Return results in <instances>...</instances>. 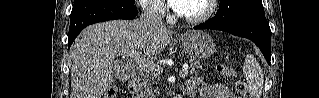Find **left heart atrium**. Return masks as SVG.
Masks as SVG:
<instances>
[{
	"label": "left heart atrium",
	"mask_w": 319,
	"mask_h": 98,
	"mask_svg": "<svg viewBox=\"0 0 319 98\" xmlns=\"http://www.w3.org/2000/svg\"><path fill=\"white\" fill-rule=\"evenodd\" d=\"M186 2L187 0H169L170 6L176 11L183 10Z\"/></svg>",
	"instance_id": "left-heart-atrium-1"
}]
</instances>
